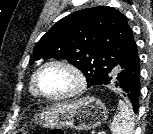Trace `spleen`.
I'll list each match as a JSON object with an SVG mask.
<instances>
[{"label": "spleen", "mask_w": 153, "mask_h": 134, "mask_svg": "<svg viewBox=\"0 0 153 134\" xmlns=\"http://www.w3.org/2000/svg\"><path fill=\"white\" fill-rule=\"evenodd\" d=\"M112 134H133L134 113L131 107L123 101L118 103V111L110 125Z\"/></svg>", "instance_id": "obj_1"}]
</instances>
